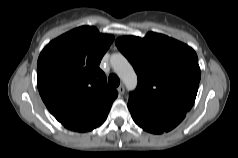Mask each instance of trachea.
Here are the masks:
<instances>
[{
  "instance_id": "3493384b",
  "label": "trachea",
  "mask_w": 238,
  "mask_h": 158,
  "mask_svg": "<svg viewBox=\"0 0 238 158\" xmlns=\"http://www.w3.org/2000/svg\"><path fill=\"white\" fill-rule=\"evenodd\" d=\"M109 84L113 87H118L120 84V79L117 75L111 74L108 78Z\"/></svg>"
}]
</instances>
